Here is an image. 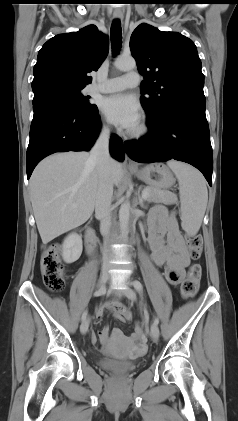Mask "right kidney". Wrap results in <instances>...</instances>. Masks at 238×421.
Returning <instances> with one entry per match:
<instances>
[{
    "instance_id": "ca27d5eb",
    "label": "right kidney",
    "mask_w": 238,
    "mask_h": 421,
    "mask_svg": "<svg viewBox=\"0 0 238 421\" xmlns=\"http://www.w3.org/2000/svg\"><path fill=\"white\" fill-rule=\"evenodd\" d=\"M82 250V238L78 234L72 233L63 242L62 258L66 263H73L79 259Z\"/></svg>"
}]
</instances>
